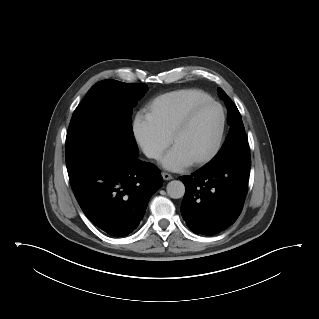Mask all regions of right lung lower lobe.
Listing matches in <instances>:
<instances>
[{
    "instance_id": "obj_1",
    "label": "right lung lower lobe",
    "mask_w": 319,
    "mask_h": 319,
    "mask_svg": "<svg viewBox=\"0 0 319 319\" xmlns=\"http://www.w3.org/2000/svg\"><path fill=\"white\" fill-rule=\"evenodd\" d=\"M70 181L87 218L113 237L138 227L163 183L155 165L139 160L136 152L116 148L94 156Z\"/></svg>"
}]
</instances>
